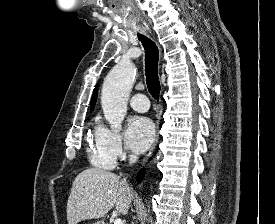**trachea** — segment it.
<instances>
[{
	"instance_id": "1",
	"label": "trachea",
	"mask_w": 275,
	"mask_h": 224,
	"mask_svg": "<svg viewBox=\"0 0 275 224\" xmlns=\"http://www.w3.org/2000/svg\"><path fill=\"white\" fill-rule=\"evenodd\" d=\"M139 40L145 49V76L149 93L159 99L160 81L158 77L159 50L156 44L148 37L138 34Z\"/></svg>"
}]
</instances>
